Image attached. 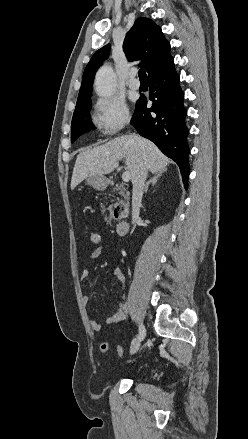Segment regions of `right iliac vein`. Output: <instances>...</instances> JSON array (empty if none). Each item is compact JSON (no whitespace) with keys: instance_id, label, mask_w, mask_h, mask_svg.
<instances>
[{"instance_id":"63e3f726","label":"right iliac vein","mask_w":248,"mask_h":439,"mask_svg":"<svg viewBox=\"0 0 248 439\" xmlns=\"http://www.w3.org/2000/svg\"><path fill=\"white\" fill-rule=\"evenodd\" d=\"M145 337V336H144ZM141 339L139 338V336L137 337V340L131 345V348H130V353L131 354H135L137 351H138V349H139V347H140V343H141Z\"/></svg>"}]
</instances>
